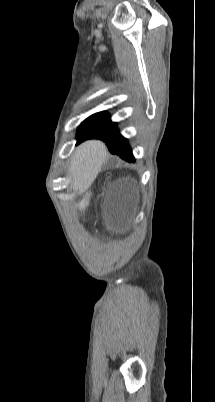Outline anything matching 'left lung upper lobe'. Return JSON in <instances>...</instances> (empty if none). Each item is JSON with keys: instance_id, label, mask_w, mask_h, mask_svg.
<instances>
[{"instance_id": "1", "label": "left lung upper lobe", "mask_w": 215, "mask_h": 402, "mask_svg": "<svg viewBox=\"0 0 215 402\" xmlns=\"http://www.w3.org/2000/svg\"><path fill=\"white\" fill-rule=\"evenodd\" d=\"M109 122H110L109 116L105 111L91 115L90 117L85 119L79 126L77 132V139L92 134L93 132L97 131L100 127Z\"/></svg>"}]
</instances>
